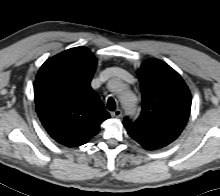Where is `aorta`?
I'll list each match as a JSON object with an SVG mask.
<instances>
[{
  "label": "aorta",
  "mask_w": 220,
  "mask_h": 196,
  "mask_svg": "<svg viewBox=\"0 0 220 196\" xmlns=\"http://www.w3.org/2000/svg\"><path fill=\"white\" fill-rule=\"evenodd\" d=\"M115 90L120 95L121 103L128 115H135L137 112V100L133 93L124 89V85L119 81H113Z\"/></svg>",
  "instance_id": "762f6f07"
}]
</instances>
